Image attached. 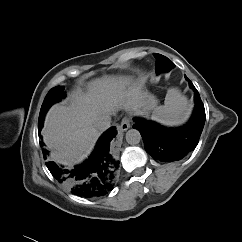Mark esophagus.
Here are the masks:
<instances>
[{
  "label": "esophagus",
  "mask_w": 242,
  "mask_h": 242,
  "mask_svg": "<svg viewBox=\"0 0 242 242\" xmlns=\"http://www.w3.org/2000/svg\"><path fill=\"white\" fill-rule=\"evenodd\" d=\"M130 128V122L127 118H124L119 126L120 131H126Z\"/></svg>",
  "instance_id": "34e87169"
}]
</instances>
